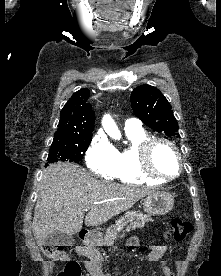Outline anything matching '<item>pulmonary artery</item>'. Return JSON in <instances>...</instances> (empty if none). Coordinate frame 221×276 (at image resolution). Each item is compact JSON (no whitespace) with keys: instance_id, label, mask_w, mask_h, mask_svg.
Returning a JSON list of instances; mask_svg holds the SVG:
<instances>
[{"instance_id":"obj_1","label":"pulmonary artery","mask_w":221,"mask_h":276,"mask_svg":"<svg viewBox=\"0 0 221 276\" xmlns=\"http://www.w3.org/2000/svg\"><path fill=\"white\" fill-rule=\"evenodd\" d=\"M141 128H142V124L138 119L131 118L126 120L125 122V129L127 130H137Z\"/></svg>"}]
</instances>
